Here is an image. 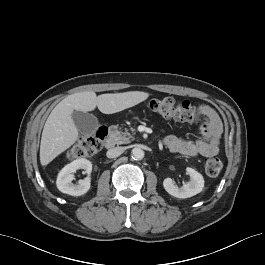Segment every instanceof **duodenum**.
Wrapping results in <instances>:
<instances>
[{"label":"duodenum","mask_w":265,"mask_h":265,"mask_svg":"<svg viewBox=\"0 0 265 265\" xmlns=\"http://www.w3.org/2000/svg\"><path fill=\"white\" fill-rule=\"evenodd\" d=\"M115 144H116V139H115V137L113 135H110L106 139V141L104 143L106 149H112V148H114L115 147Z\"/></svg>","instance_id":"1"}]
</instances>
